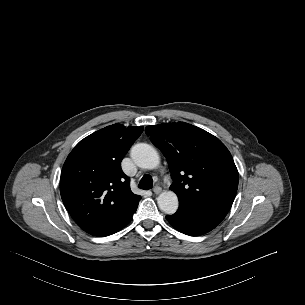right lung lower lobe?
I'll return each mask as SVG.
<instances>
[{"label": "right lung lower lobe", "instance_id": "right-lung-lower-lobe-1", "mask_svg": "<svg viewBox=\"0 0 305 305\" xmlns=\"http://www.w3.org/2000/svg\"><path fill=\"white\" fill-rule=\"evenodd\" d=\"M135 211H136V209L132 213H130L126 218H124L123 220L116 223L112 228L105 230V231L92 233V235L104 237V236H108V235L116 233L117 231L121 230L124 226H126L131 221L132 215L135 213Z\"/></svg>", "mask_w": 305, "mask_h": 305}]
</instances>
